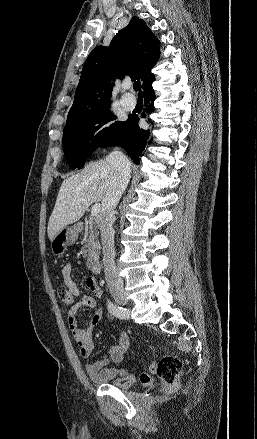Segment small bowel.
Masks as SVG:
<instances>
[{
    "label": "small bowel",
    "mask_w": 257,
    "mask_h": 439,
    "mask_svg": "<svg viewBox=\"0 0 257 439\" xmlns=\"http://www.w3.org/2000/svg\"><path fill=\"white\" fill-rule=\"evenodd\" d=\"M72 271V266L67 264L62 268V276L65 286L78 296L79 290L72 277ZM86 284L95 297L101 298L103 296V292L95 278L89 277ZM83 308L95 309L85 327L80 326L77 320V314ZM102 315V308L97 306L95 298L90 295L80 297L67 312L69 329L79 347V353L83 358H89L93 352V331L102 319ZM129 346V336L126 332H122L116 345L112 346L105 355L86 365L85 369L89 378L95 383H105L114 379L120 371L119 365L123 362Z\"/></svg>",
    "instance_id": "1"
}]
</instances>
